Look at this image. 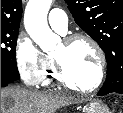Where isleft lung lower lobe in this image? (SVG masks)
Wrapping results in <instances>:
<instances>
[{
    "label": "left lung lower lobe",
    "mask_w": 123,
    "mask_h": 113,
    "mask_svg": "<svg viewBox=\"0 0 123 113\" xmlns=\"http://www.w3.org/2000/svg\"><path fill=\"white\" fill-rule=\"evenodd\" d=\"M111 92H116V93H120V94H123V90H116V91H107V90H104V89H100V91L98 92V95L99 96H102V95H106V94H109Z\"/></svg>",
    "instance_id": "1"
}]
</instances>
